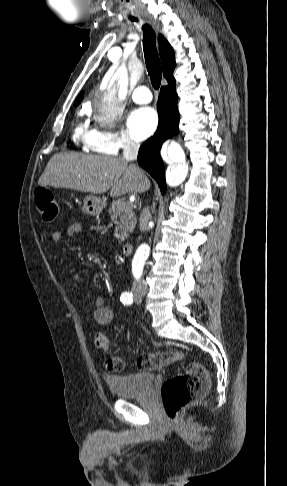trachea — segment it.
I'll return each mask as SVG.
<instances>
[{"instance_id":"3493384b","label":"trachea","mask_w":287,"mask_h":486,"mask_svg":"<svg viewBox=\"0 0 287 486\" xmlns=\"http://www.w3.org/2000/svg\"><path fill=\"white\" fill-rule=\"evenodd\" d=\"M142 28L144 33L143 50L147 71L150 76L152 86L155 89H159L162 78V69L156 48V34L149 25H144Z\"/></svg>"}]
</instances>
